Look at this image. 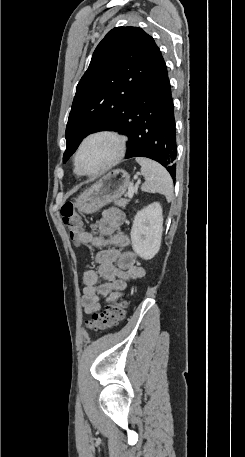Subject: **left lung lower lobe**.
Instances as JSON below:
<instances>
[{
    "mask_svg": "<svg viewBox=\"0 0 245 457\" xmlns=\"http://www.w3.org/2000/svg\"><path fill=\"white\" fill-rule=\"evenodd\" d=\"M110 131L128 136L125 158L147 157L176 175V122L170 81L161 55L147 85V95L136 109Z\"/></svg>",
    "mask_w": 245,
    "mask_h": 457,
    "instance_id": "0a47b994",
    "label": "left lung lower lobe"
}]
</instances>
